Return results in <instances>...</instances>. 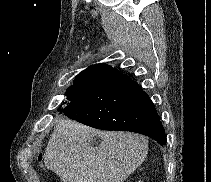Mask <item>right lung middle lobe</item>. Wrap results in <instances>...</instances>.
<instances>
[{
	"instance_id": "right-lung-middle-lobe-1",
	"label": "right lung middle lobe",
	"mask_w": 211,
	"mask_h": 182,
	"mask_svg": "<svg viewBox=\"0 0 211 182\" xmlns=\"http://www.w3.org/2000/svg\"><path fill=\"white\" fill-rule=\"evenodd\" d=\"M79 75H80V74H79ZM79 75L76 76V78H75V80H74V82H73V86H71V87H69V88L67 89L66 95H69V94L73 91V89L75 88Z\"/></svg>"
}]
</instances>
